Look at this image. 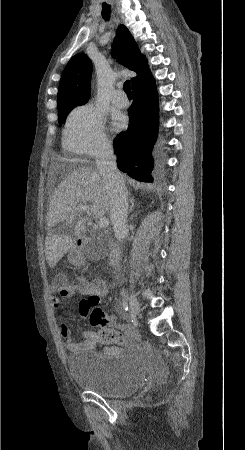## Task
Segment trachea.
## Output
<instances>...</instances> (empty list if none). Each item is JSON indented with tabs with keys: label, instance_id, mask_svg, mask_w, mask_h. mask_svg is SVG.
<instances>
[{
	"label": "trachea",
	"instance_id": "1",
	"mask_svg": "<svg viewBox=\"0 0 245 450\" xmlns=\"http://www.w3.org/2000/svg\"><path fill=\"white\" fill-rule=\"evenodd\" d=\"M102 16L105 20H109V18H110V8L106 3H103V6H102ZM124 91L126 92L127 95H132L129 80H126L124 82Z\"/></svg>",
	"mask_w": 245,
	"mask_h": 450
}]
</instances>
